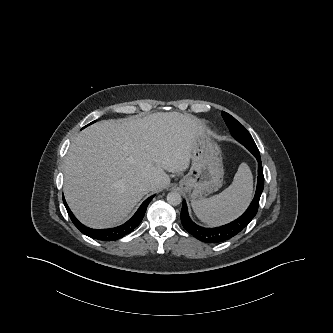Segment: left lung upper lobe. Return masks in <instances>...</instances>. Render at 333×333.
Masks as SVG:
<instances>
[{
    "label": "left lung upper lobe",
    "instance_id": "1",
    "mask_svg": "<svg viewBox=\"0 0 333 333\" xmlns=\"http://www.w3.org/2000/svg\"><path fill=\"white\" fill-rule=\"evenodd\" d=\"M221 115L230 130L231 135L243 144L247 149H258L252 136L246 130V128L240 124L234 117L230 114L222 111Z\"/></svg>",
    "mask_w": 333,
    "mask_h": 333
}]
</instances>
